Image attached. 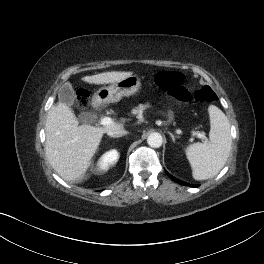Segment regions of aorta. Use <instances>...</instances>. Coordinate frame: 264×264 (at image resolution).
Here are the masks:
<instances>
[{
	"mask_svg": "<svg viewBox=\"0 0 264 264\" xmlns=\"http://www.w3.org/2000/svg\"><path fill=\"white\" fill-rule=\"evenodd\" d=\"M147 143L152 148H159L163 143V138L160 133H151L147 138Z\"/></svg>",
	"mask_w": 264,
	"mask_h": 264,
	"instance_id": "762f6f07",
	"label": "aorta"
}]
</instances>
